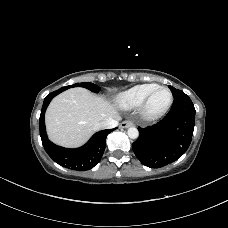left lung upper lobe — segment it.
Returning <instances> with one entry per match:
<instances>
[{
  "instance_id": "obj_1",
  "label": "left lung upper lobe",
  "mask_w": 228,
  "mask_h": 228,
  "mask_svg": "<svg viewBox=\"0 0 228 228\" xmlns=\"http://www.w3.org/2000/svg\"><path fill=\"white\" fill-rule=\"evenodd\" d=\"M169 88H170V90H171V92H172L174 98H177V97L186 95L183 91L178 90V89H175V88L172 87V86H169Z\"/></svg>"
}]
</instances>
